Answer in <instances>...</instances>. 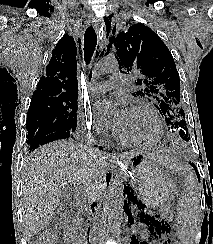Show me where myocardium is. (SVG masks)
<instances>
[{
	"mask_svg": "<svg viewBox=\"0 0 213 244\" xmlns=\"http://www.w3.org/2000/svg\"><path fill=\"white\" fill-rule=\"evenodd\" d=\"M131 111L147 112L156 123L157 135L155 138L148 140V141H129V140H126L123 137H121L118 134V132H115V138L117 139V141L120 142L121 144L129 146V147H139V148L152 147V146L158 144L163 138L164 129H163L162 121H161L158 113L156 112V110L148 104H138V105H134L131 108Z\"/></svg>",
	"mask_w": 213,
	"mask_h": 244,
	"instance_id": "myocardium-1",
	"label": "myocardium"
}]
</instances>
